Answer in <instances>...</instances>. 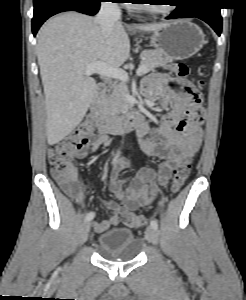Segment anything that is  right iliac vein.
Segmentation results:
<instances>
[{
  "mask_svg": "<svg viewBox=\"0 0 246 300\" xmlns=\"http://www.w3.org/2000/svg\"><path fill=\"white\" fill-rule=\"evenodd\" d=\"M89 230H90V222H86L82 226V229H81L80 234H79L78 242H79L80 245L83 244L87 240Z\"/></svg>",
  "mask_w": 246,
  "mask_h": 300,
  "instance_id": "right-iliac-vein-1",
  "label": "right iliac vein"
}]
</instances>
